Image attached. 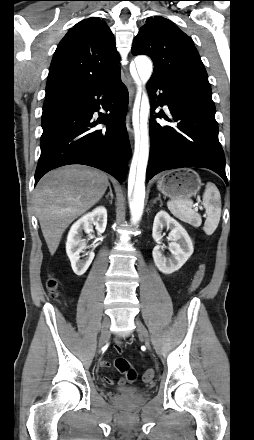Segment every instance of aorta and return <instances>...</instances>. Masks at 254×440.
I'll return each mask as SVG.
<instances>
[{
    "instance_id": "1",
    "label": "aorta",
    "mask_w": 254,
    "mask_h": 440,
    "mask_svg": "<svg viewBox=\"0 0 254 440\" xmlns=\"http://www.w3.org/2000/svg\"><path fill=\"white\" fill-rule=\"evenodd\" d=\"M135 65L141 81L145 84L151 77L153 67L146 56H137ZM150 111L149 98L143 93L140 102L133 109V126L135 130V152L128 179L129 207L131 222L137 223L144 210L145 176L149 157L148 115Z\"/></svg>"
}]
</instances>
